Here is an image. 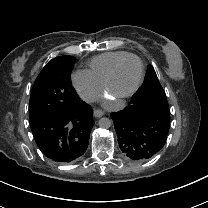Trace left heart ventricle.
<instances>
[{
  "instance_id": "obj_1",
  "label": "left heart ventricle",
  "mask_w": 208,
  "mask_h": 208,
  "mask_svg": "<svg viewBox=\"0 0 208 208\" xmlns=\"http://www.w3.org/2000/svg\"><path fill=\"white\" fill-rule=\"evenodd\" d=\"M140 76V65L135 58L126 59L118 68L112 91L115 94H124L131 91L137 84Z\"/></svg>"
}]
</instances>
